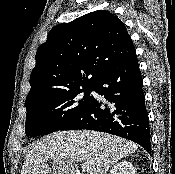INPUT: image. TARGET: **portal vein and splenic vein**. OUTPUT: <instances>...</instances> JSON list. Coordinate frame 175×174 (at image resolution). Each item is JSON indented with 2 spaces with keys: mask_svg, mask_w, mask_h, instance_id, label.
Masks as SVG:
<instances>
[{
  "mask_svg": "<svg viewBox=\"0 0 175 174\" xmlns=\"http://www.w3.org/2000/svg\"><path fill=\"white\" fill-rule=\"evenodd\" d=\"M81 169H82L83 172H85L86 169H87L86 165L83 164V165L81 166Z\"/></svg>",
  "mask_w": 175,
  "mask_h": 174,
  "instance_id": "portal-vein-and-splenic-vein-1",
  "label": "portal vein and splenic vein"
}]
</instances>
